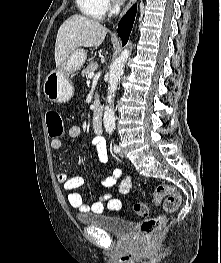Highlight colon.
Masks as SVG:
<instances>
[{
	"mask_svg": "<svg viewBox=\"0 0 221 263\" xmlns=\"http://www.w3.org/2000/svg\"><path fill=\"white\" fill-rule=\"evenodd\" d=\"M46 121L51 138H58L63 134L64 124L58 110H48ZM153 202L155 205L163 202V211L166 214H171L178 210L181 204V196L175 187L167 184H158L154 190ZM134 212L139 216L146 217L148 215V206L143 202H138L134 205ZM165 221L164 215L144 220L140 227L141 239L149 244L163 229Z\"/></svg>",
	"mask_w": 221,
	"mask_h": 263,
	"instance_id": "5ec220e1",
	"label": "colon"
}]
</instances>
